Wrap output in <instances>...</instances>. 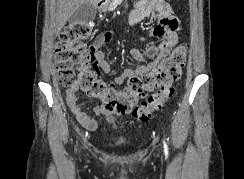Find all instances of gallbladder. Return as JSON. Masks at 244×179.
<instances>
[{
  "label": "gallbladder",
  "instance_id": "bac80fb5",
  "mask_svg": "<svg viewBox=\"0 0 244 179\" xmlns=\"http://www.w3.org/2000/svg\"><path fill=\"white\" fill-rule=\"evenodd\" d=\"M96 12L97 10L94 4L85 2V4H82V6H79V8L75 10L69 22L70 24H88V22H93Z\"/></svg>",
  "mask_w": 244,
  "mask_h": 179
}]
</instances>
